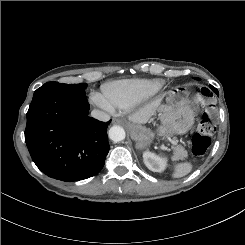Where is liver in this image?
<instances>
[{"label":"liver","mask_w":245,"mask_h":245,"mask_svg":"<svg viewBox=\"0 0 245 245\" xmlns=\"http://www.w3.org/2000/svg\"><path fill=\"white\" fill-rule=\"evenodd\" d=\"M157 106L158 104L156 102L149 103L129 116V120L138 124L147 123L151 116L155 114Z\"/></svg>","instance_id":"liver-1"}]
</instances>
